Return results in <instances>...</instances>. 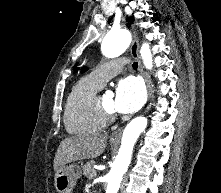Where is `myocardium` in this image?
I'll list each match as a JSON object with an SVG mask.
<instances>
[{
  "mask_svg": "<svg viewBox=\"0 0 221 193\" xmlns=\"http://www.w3.org/2000/svg\"><path fill=\"white\" fill-rule=\"evenodd\" d=\"M93 107L100 118L105 122L109 123L115 120L116 115L114 111L108 110L101 102V95L96 93L92 100Z\"/></svg>",
  "mask_w": 221,
  "mask_h": 193,
  "instance_id": "myocardium-1",
  "label": "myocardium"
}]
</instances>
